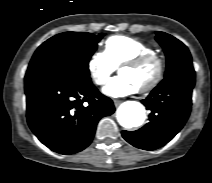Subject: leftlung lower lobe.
I'll return each instance as SVG.
<instances>
[{"label": "left lung lower lobe", "instance_id": "obj_1", "mask_svg": "<svg viewBox=\"0 0 212 183\" xmlns=\"http://www.w3.org/2000/svg\"><path fill=\"white\" fill-rule=\"evenodd\" d=\"M195 71L187 62L172 73L141 102L150 110L149 123L137 131H123L131 145L155 150L168 143L184 126L192 105Z\"/></svg>", "mask_w": 212, "mask_h": 183}]
</instances>
